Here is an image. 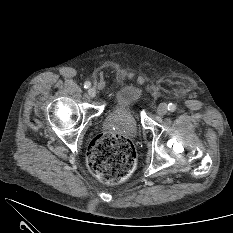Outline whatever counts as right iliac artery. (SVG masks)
Returning a JSON list of instances; mask_svg holds the SVG:
<instances>
[{"label":"right iliac artery","instance_id":"82829eb1","mask_svg":"<svg viewBox=\"0 0 233 233\" xmlns=\"http://www.w3.org/2000/svg\"><path fill=\"white\" fill-rule=\"evenodd\" d=\"M84 87H85L86 89L90 88V87H91V83H90L89 81H86V82L84 83Z\"/></svg>","mask_w":233,"mask_h":233}]
</instances>
